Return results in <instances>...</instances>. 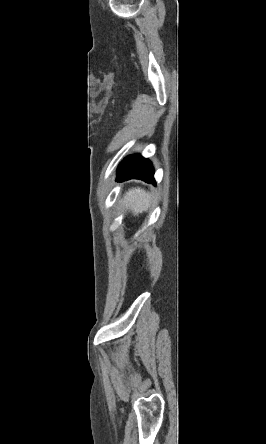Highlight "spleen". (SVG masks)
<instances>
[{"mask_svg":"<svg viewBox=\"0 0 266 444\" xmlns=\"http://www.w3.org/2000/svg\"><path fill=\"white\" fill-rule=\"evenodd\" d=\"M153 202V196L141 188L130 189L124 197L126 208L131 209L134 215L146 212Z\"/></svg>","mask_w":266,"mask_h":444,"instance_id":"obj_1","label":"spleen"}]
</instances>
